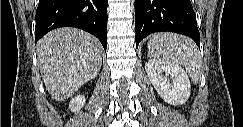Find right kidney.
I'll return each instance as SVG.
<instances>
[{"label": "right kidney", "mask_w": 243, "mask_h": 127, "mask_svg": "<svg viewBox=\"0 0 243 127\" xmlns=\"http://www.w3.org/2000/svg\"><path fill=\"white\" fill-rule=\"evenodd\" d=\"M84 104H85V97L82 95H77L71 99L69 103V109L72 112H77L84 106Z\"/></svg>", "instance_id": "ca27d5eb"}]
</instances>
